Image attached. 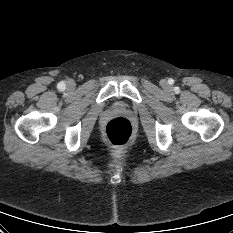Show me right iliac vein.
Wrapping results in <instances>:
<instances>
[{"label":"right iliac vein","mask_w":233,"mask_h":233,"mask_svg":"<svg viewBox=\"0 0 233 233\" xmlns=\"http://www.w3.org/2000/svg\"><path fill=\"white\" fill-rule=\"evenodd\" d=\"M68 86H69V87H72V86H73V83H72V82H69V83H68Z\"/></svg>","instance_id":"obj_1"}]
</instances>
